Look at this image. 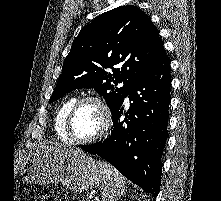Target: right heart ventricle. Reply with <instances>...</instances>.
Instances as JSON below:
<instances>
[{"instance_id":"right-heart-ventricle-1","label":"right heart ventricle","mask_w":221,"mask_h":201,"mask_svg":"<svg viewBox=\"0 0 221 201\" xmlns=\"http://www.w3.org/2000/svg\"><path fill=\"white\" fill-rule=\"evenodd\" d=\"M75 101H76L75 97H70L66 99L58 108L54 119V129L56 135L61 141L65 143H72L66 133L65 124L68 112Z\"/></svg>"}]
</instances>
